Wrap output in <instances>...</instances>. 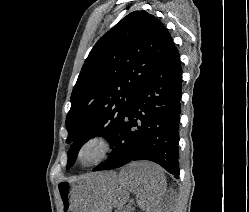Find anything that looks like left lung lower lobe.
I'll return each mask as SVG.
<instances>
[{"instance_id":"obj_1","label":"left lung lower lobe","mask_w":249,"mask_h":212,"mask_svg":"<svg viewBox=\"0 0 249 212\" xmlns=\"http://www.w3.org/2000/svg\"><path fill=\"white\" fill-rule=\"evenodd\" d=\"M182 69L173 43L131 101L109 158L93 171L149 160L179 176V121Z\"/></svg>"}]
</instances>
